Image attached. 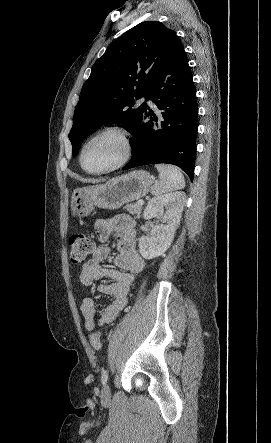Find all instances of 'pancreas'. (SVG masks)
<instances>
[{"label":"pancreas","mask_w":271,"mask_h":443,"mask_svg":"<svg viewBox=\"0 0 271 443\" xmlns=\"http://www.w3.org/2000/svg\"><path fill=\"white\" fill-rule=\"evenodd\" d=\"M124 210H127V212H129V214H132V216H136V218H140L141 206H139V204H127V206H125Z\"/></svg>","instance_id":"cf45deb5"}]
</instances>
